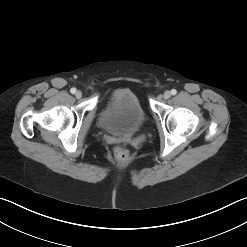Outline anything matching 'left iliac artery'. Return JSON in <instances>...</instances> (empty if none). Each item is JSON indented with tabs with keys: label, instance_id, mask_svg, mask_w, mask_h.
Segmentation results:
<instances>
[{
	"label": "left iliac artery",
	"instance_id": "1",
	"mask_svg": "<svg viewBox=\"0 0 247 247\" xmlns=\"http://www.w3.org/2000/svg\"><path fill=\"white\" fill-rule=\"evenodd\" d=\"M176 93H177V91H176L175 89H172V90H171V94H172V95H176Z\"/></svg>",
	"mask_w": 247,
	"mask_h": 247
}]
</instances>
